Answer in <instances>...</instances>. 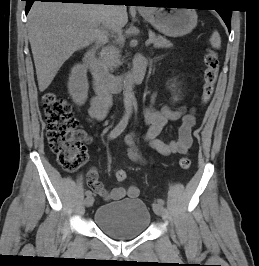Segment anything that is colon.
<instances>
[{"label": "colon", "instance_id": "colon-1", "mask_svg": "<svg viewBox=\"0 0 259 266\" xmlns=\"http://www.w3.org/2000/svg\"><path fill=\"white\" fill-rule=\"evenodd\" d=\"M205 70L201 102L207 104L214 92L219 73V58L212 49H207L204 56ZM42 107L46 122V137L56 156L58 163L66 171H76L87 160L84 141L87 136L78 128V120L72 113L70 104L53 92H47L42 97ZM191 160L183 156L179 160L182 169H188ZM117 181L127 178L126 171H116Z\"/></svg>", "mask_w": 259, "mask_h": 266}]
</instances>
